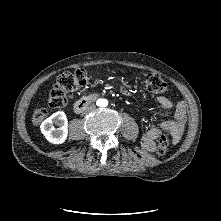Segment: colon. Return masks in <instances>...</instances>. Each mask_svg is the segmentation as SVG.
<instances>
[{
	"instance_id": "5ec220e1",
	"label": "colon",
	"mask_w": 221,
	"mask_h": 221,
	"mask_svg": "<svg viewBox=\"0 0 221 221\" xmlns=\"http://www.w3.org/2000/svg\"><path fill=\"white\" fill-rule=\"evenodd\" d=\"M91 77V73L83 69H77L73 72H64L60 74L51 89L49 105L53 109H61L65 107L67 104V93L87 86ZM142 80L146 90L150 93L162 94L167 90L166 82L157 74H145ZM47 116V110L36 109L32 115V121L34 124H39ZM175 141L176 138L174 134L169 130H164L159 139L157 147L158 154L164 155Z\"/></svg>"
}]
</instances>
